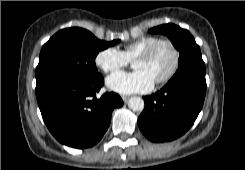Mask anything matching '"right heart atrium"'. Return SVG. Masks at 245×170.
<instances>
[{
    "instance_id": "d8ad5b80",
    "label": "right heart atrium",
    "mask_w": 245,
    "mask_h": 170,
    "mask_svg": "<svg viewBox=\"0 0 245 170\" xmlns=\"http://www.w3.org/2000/svg\"><path fill=\"white\" fill-rule=\"evenodd\" d=\"M94 62L104 72H114L129 63V59L123 51L115 47H106L101 49L95 56Z\"/></svg>"
}]
</instances>
